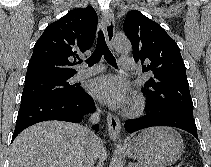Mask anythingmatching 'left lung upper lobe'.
I'll use <instances>...</instances> for the list:
<instances>
[{
	"label": "left lung upper lobe",
	"instance_id": "5c2ea615",
	"mask_svg": "<svg viewBox=\"0 0 211 167\" xmlns=\"http://www.w3.org/2000/svg\"><path fill=\"white\" fill-rule=\"evenodd\" d=\"M123 28L133 48V57L143 72L153 76L142 91L153 113L180 111L193 116V102L185 64L177 43L156 22L137 10L130 11Z\"/></svg>",
	"mask_w": 211,
	"mask_h": 167
}]
</instances>
